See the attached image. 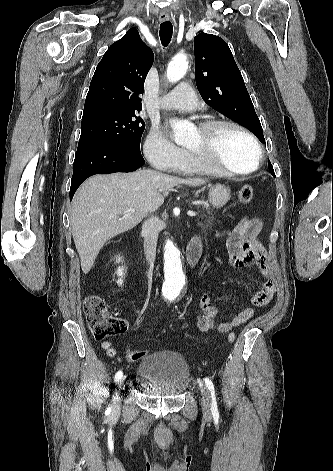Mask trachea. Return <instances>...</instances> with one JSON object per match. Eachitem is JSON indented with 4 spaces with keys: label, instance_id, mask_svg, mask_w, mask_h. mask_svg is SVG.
Instances as JSON below:
<instances>
[{
    "label": "trachea",
    "instance_id": "trachea-1",
    "mask_svg": "<svg viewBox=\"0 0 333 471\" xmlns=\"http://www.w3.org/2000/svg\"><path fill=\"white\" fill-rule=\"evenodd\" d=\"M172 33H173V26L169 21L163 22L160 25V39L161 43L164 47L168 46V44L171 41L172 38Z\"/></svg>",
    "mask_w": 333,
    "mask_h": 471
}]
</instances>
